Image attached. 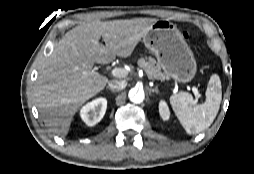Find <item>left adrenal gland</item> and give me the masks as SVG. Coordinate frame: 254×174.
Returning <instances> with one entry per match:
<instances>
[{"instance_id":"1","label":"left adrenal gland","mask_w":254,"mask_h":174,"mask_svg":"<svg viewBox=\"0 0 254 174\" xmlns=\"http://www.w3.org/2000/svg\"><path fill=\"white\" fill-rule=\"evenodd\" d=\"M148 91H149V94H150V95H151L152 93H156V94L159 93L157 87H156V88H149V87H148Z\"/></svg>"}]
</instances>
